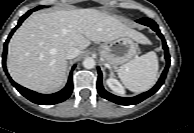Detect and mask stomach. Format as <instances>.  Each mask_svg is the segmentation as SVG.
Instances as JSON below:
<instances>
[{
  "label": "stomach",
  "instance_id": "stomach-1",
  "mask_svg": "<svg viewBox=\"0 0 194 133\" xmlns=\"http://www.w3.org/2000/svg\"><path fill=\"white\" fill-rule=\"evenodd\" d=\"M137 45L129 36H122L99 46L103 61L113 67L130 61L136 55Z\"/></svg>",
  "mask_w": 194,
  "mask_h": 133
}]
</instances>
